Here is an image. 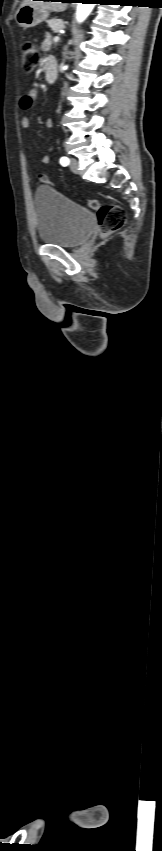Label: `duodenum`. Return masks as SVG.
Instances as JSON below:
<instances>
[{
	"mask_svg": "<svg viewBox=\"0 0 162 851\" xmlns=\"http://www.w3.org/2000/svg\"><path fill=\"white\" fill-rule=\"evenodd\" d=\"M44 71L46 81L49 84L53 83L57 78V63L54 58L46 59Z\"/></svg>",
	"mask_w": 162,
	"mask_h": 851,
	"instance_id": "duodenum-1",
	"label": "duodenum"
}]
</instances>
